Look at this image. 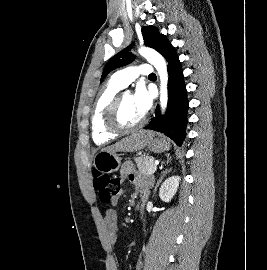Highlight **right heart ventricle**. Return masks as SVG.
<instances>
[{
  "label": "right heart ventricle",
  "instance_id": "right-heart-ventricle-1",
  "mask_svg": "<svg viewBox=\"0 0 267 270\" xmlns=\"http://www.w3.org/2000/svg\"><path fill=\"white\" fill-rule=\"evenodd\" d=\"M121 89L122 87L120 85L110 79L107 85L100 91L95 101L91 118V129L93 140L97 145H105L118 136V134L110 132L106 128L105 114L108 106Z\"/></svg>",
  "mask_w": 267,
  "mask_h": 270
}]
</instances>
